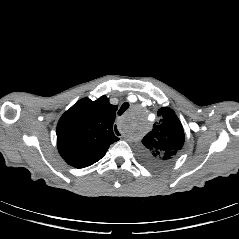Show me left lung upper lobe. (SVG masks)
Segmentation results:
<instances>
[{
    "mask_svg": "<svg viewBox=\"0 0 239 239\" xmlns=\"http://www.w3.org/2000/svg\"><path fill=\"white\" fill-rule=\"evenodd\" d=\"M158 121L143 139L142 157L151 166L172 162L180 154L185 137L182 124L175 112L163 107L158 110Z\"/></svg>",
    "mask_w": 239,
    "mask_h": 239,
    "instance_id": "5c2ea615",
    "label": "left lung upper lobe"
}]
</instances>
